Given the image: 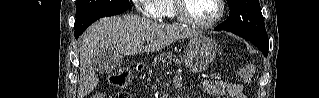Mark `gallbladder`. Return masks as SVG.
I'll return each instance as SVG.
<instances>
[{
	"mask_svg": "<svg viewBox=\"0 0 319 98\" xmlns=\"http://www.w3.org/2000/svg\"><path fill=\"white\" fill-rule=\"evenodd\" d=\"M122 55L106 50L98 53L94 59L95 69L98 73L108 74L121 66Z\"/></svg>",
	"mask_w": 319,
	"mask_h": 98,
	"instance_id": "obj_1",
	"label": "gallbladder"
}]
</instances>
